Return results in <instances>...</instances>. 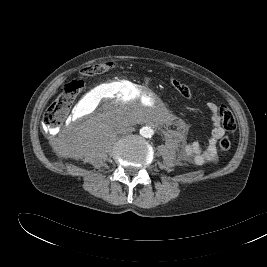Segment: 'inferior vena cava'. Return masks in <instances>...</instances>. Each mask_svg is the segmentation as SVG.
I'll use <instances>...</instances> for the list:
<instances>
[{
	"mask_svg": "<svg viewBox=\"0 0 267 267\" xmlns=\"http://www.w3.org/2000/svg\"><path fill=\"white\" fill-rule=\"evenodd\" d=\"M133 130H134V128L129 126V125H122L119 128V132H121V133H129V132H132Z\"/></svg>",
	"mask_w": 267,
	"mask_h": 267,
	"instance_id": "602c4592",
	"label": "inferior vena cava"
}]
</instances>
